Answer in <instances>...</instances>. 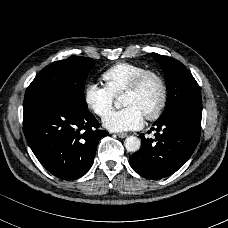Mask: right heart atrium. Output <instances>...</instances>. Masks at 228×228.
Instances as JSON below:
<instances>
[{
  "label": "right heart atrium",
  "mask_w": 228,
  "mask_h": 228,
  "mask_svg": "<svg viewBox=\"0 0 228 228\" xmlns=\"http://www.w3.org/2000/svg\"><path fill=\"white\" fill-rule=\"evenodd\" d=\"M84 102L96 115L103 116L114 103V96L105 85L90 81L84 89Z\"/></svg>",
  "instance_id": "d8ad5b80"
}]
</instances>
